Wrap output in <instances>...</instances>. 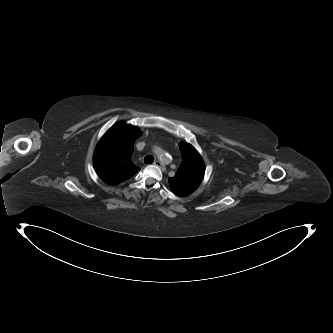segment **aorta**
<instances>
[{
	"label": "aorta",
	"mask_w": 333,
	"mask_h": 333,
	"mask_svg": "<svg viewBox=\"0 0 333 333\" xmlns=\"http://www.w3.org/2000/svg\"><path fill=\"white\" fill-rule=\"evenodd\" d=\"M156 154L159 156V159H160L161 161H163V160L166 159V158L163 157V155H162L158 150L156 151Z\"/></svg>",
	"instance_id": "aorta-1"
}]
</instances>
